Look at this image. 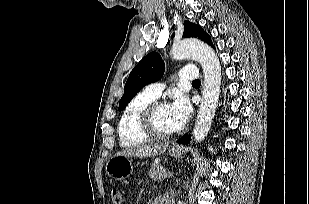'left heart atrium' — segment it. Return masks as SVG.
Returning <instances> with one entry per match:
<instances>
[{"mask_svg": "<svg viewBox=\"0 0 309 204\" xmlns=\"http://www.w3.org/2000/svg\"><path fill=\"white\" fill-rule=\"evenodd\" d=\"M169 107L174 120L175 129L178 130L189 120L192 112L191 105L185 96L178 95Z\"/></svg>", "mask_w": 309, "mask_h": 204, "instance_id": "39dd6f15", "label": "left heart atrium"}]
</instances>
